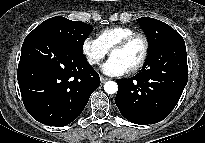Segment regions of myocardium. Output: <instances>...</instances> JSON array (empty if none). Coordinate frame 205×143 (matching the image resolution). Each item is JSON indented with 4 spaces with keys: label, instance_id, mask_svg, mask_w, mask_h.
<instances>
[{
    "label": "myocardium",
    "instance_id": "1",
    "mask_svg": "<svg viewBox=\"0 0 205 143\" xmlns=\"http://www.w3.org/2000/svg\"><path fill=\"white\" fill-rule=\"evenodd\" d=\"M137 39L141 40L142 43H143V53H142V56H141L140 60L133 67H131L128 70L129 73H135L138 70H140L145 65V63H146V61L148 59L149 51H150V44H149V40H148L147 36L144 35L143 33L135 32V33L125 37L124 39H122L118 43H116L110 49V56H111L113 52L125 49L133 41H135Z\"/></svg>",
    "mask_w": 205,
    "mask_h": 143
}]
</instances>
